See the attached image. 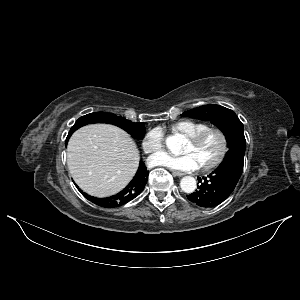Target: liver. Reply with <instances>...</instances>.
Here are the masks:
<instances>
[{"label":"liver","mask_w":300,"mask_h":300,"mask_svg":"<svg viewBox=\"0 0 300 300\" xmlns=\"http://www.w3.org/2000/svg\"><path fill=\"white\" fill-rule=\"evenodd\" d=\"M139 160L130 135L113 125H86L68 142L69 172L84 192L95 197L121 191L135 175Z\"/></svg>","instance_id":"liver-1"}]
</instances>
